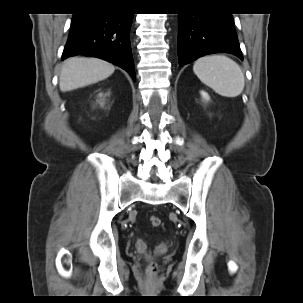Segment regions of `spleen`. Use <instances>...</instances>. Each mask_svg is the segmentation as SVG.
<instances>
[{
	"mask_svg": "<svg viewBox=\"0 0 303 303\" xmlns=\"http://www.w3.org/2000/svg\"><path fill=\"white\" fill-rule=\"evenodd\" d=\"M193 71L202 83L223 97H237L245 86L240 66L224 55H209L198 59Z\"/></svg>",
	"mask_w": 303,
	"mask_h": 303,
	"instance_id": "3e777b00",
	"label": "spleen"
}]
</instances>
